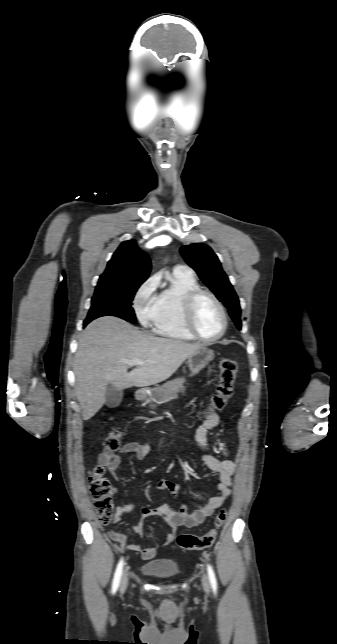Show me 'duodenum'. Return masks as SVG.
I'll return each instance as SVG.
<instances>
[{"mask_svg": "<svg viewBox=\"0 0 337 644\" xmlns=\"http://www.w3.org/2000/svg\"><path fill=\"white\" fill-rule=\"evenodd\" d=\"M135 398L139 401L143 400L145 398V392L143 390H139L135 394Z\"/></svg>", "mask_w": 337, "mask_h": 644, "instance_id": "1", "label": "duodenum"}]
</instances>
